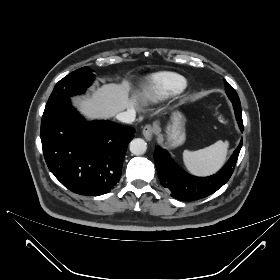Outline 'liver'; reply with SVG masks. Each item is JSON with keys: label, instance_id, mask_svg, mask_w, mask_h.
Instances as JSON below:
<instances>
[{"label": "liver", "instance_id": "obj_1", "mask_svg": "<svg viewBox=\"0 0 280 280\" xmlns=\"http://www.w3.org/2000/svg\"><path fill=\"white\" fill-rule=\"evenodd\" d=\"M130 89L127 81L105 84L95 90L91 97L77 100L76 105L88 119H108L125 109L134 110L141 94L134 93L129 97Z\"/></svg>", "mask_w": 280, "mask_h": 280}]
</instances>
